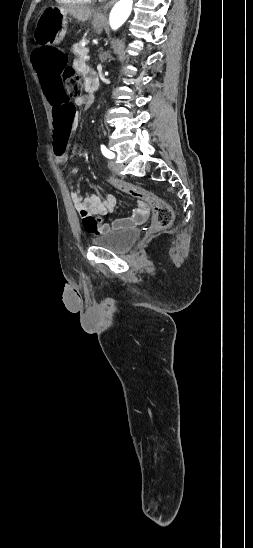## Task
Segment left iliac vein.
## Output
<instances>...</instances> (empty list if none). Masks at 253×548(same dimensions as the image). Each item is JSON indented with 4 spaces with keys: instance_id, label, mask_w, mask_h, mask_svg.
I'll return each instance as SVG.
<instances>
[{
    "instance_id": "left-iliac-vein-1",
    "label": "left iliac vein",
    "mask_w": 253,
    "mask_h": 548,
    "mask_svg": "<svg viewBox=\"0 0 253 548\" xmlns=\"http://www.w3.org/2000/svg\"><path fill=\"white\" fill-rule=\"evenodd\" d=\"M108 166L113 171V173H115L116 175H120L119 167L114 160H110Z\"/></svg>"
}]
</instances>
